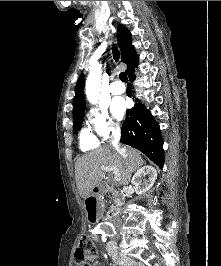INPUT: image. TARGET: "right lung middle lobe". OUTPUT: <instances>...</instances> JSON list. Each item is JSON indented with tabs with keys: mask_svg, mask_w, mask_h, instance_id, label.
I'll use <instances>...</instances> for the list:
<instances>
[{
	"mask_svg": "<svg viewBox=\"0 0 221 266\" xmlns=\"http://www.w3.org/2000/svg\"><path fill=\"white\" fill-rule=\"evenodd\" d=\"M84 115L85 113H82L73 117V130L76 134L78 133V130L81 127Z\"/></svg>",
	"mask_w": 221,
	"mask_h": 266,
	"instance_id": "dd1d6c3e",
	"label": "right lung middle lobe"
}]
</instances>
